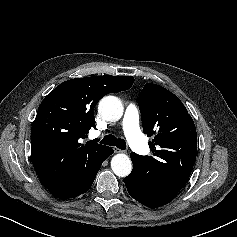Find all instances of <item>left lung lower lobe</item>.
Here are the masks:
<instances>
[{
    "mask_svg": "<svg viewBox=\"0 0 237 237\" xmlns=\"http://www.w3.org/2000/svg\"><path fill=\"white\" fill-rule=\"evenodd\" d=\"M125 185L128 193L135 200L139 201L141 204L149 208H158L160 206L166 205L171 202L177 195L175 194L170 196H150L152 186L150 184L142 183L139 181L135 166L133 167V170L130 175L125 178Z\"/></svg>",
    "mask_w": 237,
    "mask_h": 237,
    "instance_id": "1",
    "label": "left lung lower lobe"
}]
</instances>
